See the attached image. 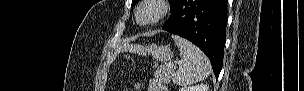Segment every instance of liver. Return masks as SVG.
I'll return each instance as SVG.
<instances>
[{"label":"liver","instance_id":"obj_1","mask_svg":"<svg viewBox=\"0 0 304 91\" xmlns=\"http://www.w3.org/2000/svg\"><path fill=\"white\" fill-rule=\"evenodd\" d=\"M120 51H129V52H142L144 51V48L140 45L137 44H128V43H124L123 45H121L117 50L116 53L120 52Z\"/></svg>","mask_w":304,"mask_h":91}]
</instances>
